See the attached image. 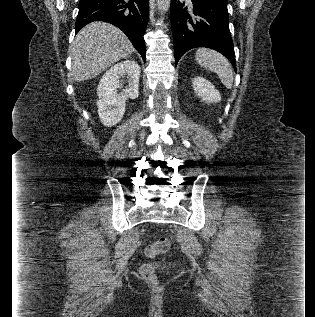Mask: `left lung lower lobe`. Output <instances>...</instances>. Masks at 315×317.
Returning <instances> with one entry per match:
<instances>
[{"label": "left lung lower lobe", "instance_id": "0a47b994", "mask_svg": "<svg viewBox=\"0 0 315 317\" xmlns=\"http://www.w3.org/2000/svg\"><path fill=\"white\" fill-rule=\"evenodd\" d=\"M186 5L171 0L170 20L174 38L175 64L188 50L214 49L227 57L236 70L234 45L230 35L227 0H191Z\"/></svg>", "mask_w": 315, "mask_h": 317}]
</instances>
